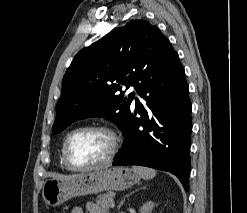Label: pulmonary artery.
Here are the masks:
<instances>
[{
  "instance_id": "obj_1",
  "label": "pulmonary artery",
  "mask_w": 247,
  "mask_h": 213,
  "mask_svg": "<svg viewBox=\"0 0 247 213\" xmlns=\"http://www.w3.org/2000/svg\"><path fill=\"white\" fill-rule=\"evenodd\" d=\"M128 92H129V93H134V96H135L136 98L139 97V95H138V93H137V90H136L135 87H133V86L129 88Z\"/></svg>"
}]
</instances>
